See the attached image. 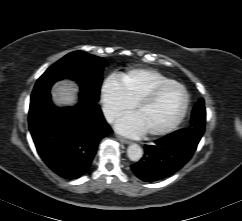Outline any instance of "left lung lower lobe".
<instances>
[{"mask_svg": "<svg viewBox=\"0 0 242 221\" xmlns=\"http://www.w3.org/2000/svg\"><path fill=\"white\" fill-rule=\"evenodd\" d=\"M204 132L194 128L181 129L145 145L143 158L131 166L142 181H157L182 168L192 157Z\"/></svg>", "mask_w": 242, "mask_h": 221, "instance_id": "1", "label": "left lung lower lobe"}]
</instances>
